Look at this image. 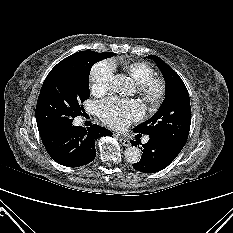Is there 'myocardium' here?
<instances>
[{
    "label": "myocardium",
    "mask_w": 233,
    "mask_h": 233,
    "mask_svg": "<svg viewBox=\"0 0 233 233\" xmlns=\"http://www.w3.org/2000/svg\"><path fill=\"white\" fill-rule=\"evenodd\" d=\"M138 90L148 104L157 106L165 96L166 87L161 79L153 77L138 84Z\"/></svg>",
    "instance_id": "1"
}]
</instances>
